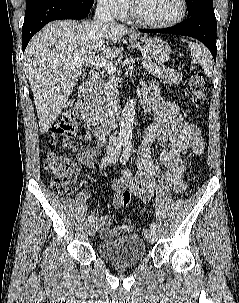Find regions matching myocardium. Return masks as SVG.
I'll use <instances>...</instances> for the list:
<instances>
[{
    "mask_svg": "<svg viewBox=\"0 0 239 303\" xmlns=\"http://www.w3.org/2000/svg\"><path fill=\"white\" fill-rule=\"evenodd\" d=\"M179 1H180V5H181V9H180L179 13L175 17H173L172 19L167 20V21H151V20L145 19L144 17H142L139 14V12L134 4V1L131 2V15L138 23L148 26V27H153V28L171 27V26H174V25L178 24L179 22H181L187 14V9H188L187 0H179Z\"/></svg>",
    "mask_w": 239,
    "mask_h": 303,
    "instance_id": "myocardium-1",
    "label": "myocardium"
}]
</instances>
